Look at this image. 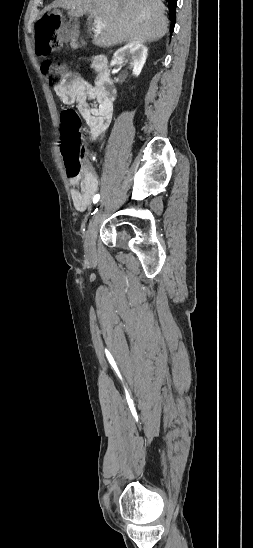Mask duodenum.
Returning <instances> with one entry per match:
<instances>
[{"label": "duodenum", "mask_w": 253, "mask_h": 548, "mask_svg": "<svg viewBox=\"0 0 253 548\" xmlns=\"http://www.w3.org/2000/svg\"><path fill=\"white\" fill-rule=\"evenodd\" d=\"M93 66L97 74V89L104 97L113 100L116 95V88L111 78L107 56L102 54L95 55L93 57Z\"/></svg>", "instance_id": "obj_1"}]
</instances>
